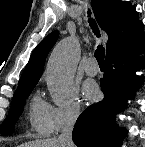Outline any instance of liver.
I'll use <instances>...</instances> for the list:
<instances>
[{"mask_svg":"<svg viewBox=\"0 0 145 147\" xmlns=\"http://www.w3.org/2000/svg\"><path fill=\"white\" fill-rule=\"evenodd\" d=\"M19 147H62L57 138L35 140L21 144Z\"/></svg>","mask_w":145,"mask_h":147,"instance_id":"1","label":"liver"}]
</instances>
